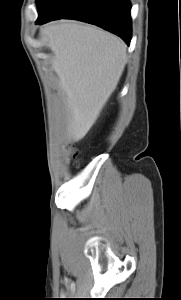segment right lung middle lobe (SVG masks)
Listing matches in <instances>:
<instances>
[{
	"instance_id": "1",
	"label": "right lung middle lobe",
	"mask_w": 181,
	"mask_h": 300,
	"mask_svg": "<svg viewBox=\"0 0 181 300\" xmlns=\"http://www.w3.org/2000/svg\"><path fill=\"white\" fill-rule=\"evenodd\" d=\"M60 0H37L38 17L45 15Z\"/></svg>"
}]
</instances>
